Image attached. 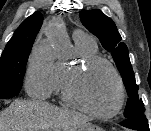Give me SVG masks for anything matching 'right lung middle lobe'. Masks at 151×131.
I'll return each instance as SVG.
<instances>
[{"label": "right lung middle lobe", "instance_id": "1", "mask_svg": "<svg viewBox=\"0 0 151 131\" xmlns=\"http://www.w3.org/2000/svg\"><path fill=\"white\" fill-rule=\"evenodd\" d=\"M31 48L32 45L4 49L0 58V99L20 92Z\"/></svg>", "mask_w": 151, "mask_h": 131}]
</instances>
